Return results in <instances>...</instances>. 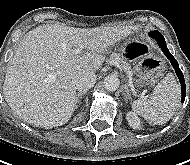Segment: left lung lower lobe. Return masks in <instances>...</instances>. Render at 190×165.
<instances>
[{
    "label": "left lung lower lobe",
    "instance_id": "0a47b994",
    "mask_svg": "<svg viewBox=\"0 0 190 165\" xmlns=\"http://www.w3.org/2000/svg\"><path fill=\"white\" fill-rule=\"evenodd\" d=\"M149 35L157 41V43H158L159 47L161 48V50L163 51V53L171 61V64H172L173 68L175 69L176 74L179 77V80L181 83V89H182L181 102H184L185 96H186V85H185V81H184V76L179 68L178 62L175 60V58L169 52V50L165 44V39L161 33H159L158 31H153V32H150Z\"/></svg>",
    "mask_w": 190,
    "mask_h": 165
}]
</instances>
